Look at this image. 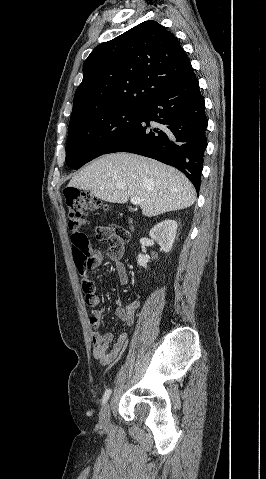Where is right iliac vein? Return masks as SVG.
Returning a JSON list of instances; mask_svg holds the SVG:
<instances>
[{"label":"right iliac vein","mask_w":266,"mask_h":479,"mask_svg":"<svg viewBox=\"0 0 266 479\" xmlns=\"http://www.w3.org/2000/svg\"><path fill=\"white\" fill-rule=\"evenodd\" d=\"M99 425L102 429L107 430L110 425V405L105 404L100 413Z\"/></svg>","instance_id":"obj_1"}]
</instances>
